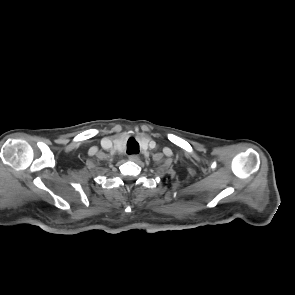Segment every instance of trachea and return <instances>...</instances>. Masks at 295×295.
I'll return each instance as SVG.
<instances>
[{"instance_id": "obj_1", "label": "trachea", "mask_w": 295, "mask_h": 295, "mask_svg": "<svg viewBox=\"0 0 295 295\" xmlns=\"http://www.w3.org/2000/svg\"><path fill=\"white\" fill-rule=\"evenodd\" d=\"M128 154H137L139 152V144L134 138H130L127 143Z\"/></svg>"}]
</instances>
